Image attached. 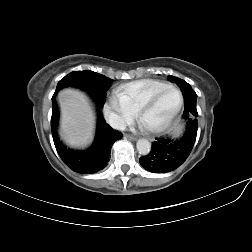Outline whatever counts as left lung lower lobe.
I'll return each instance as SVG.
<instances>
[{
  "mask_svg": "<svg viewBox=\"0 0 252 252\" xmlns=\"http://www.w3.org/2000/svg\"><path fill=\"white\" fill-rule=\"evenodd\" d=\"M184 96L185 132L179 139L156 138L150 153L140 158L144 169L152 173H165L178 168L188 158L197 135L198 116L196 109L197 95L191 86H180Z\"/></svg>",
  "mask_w": 252,
  "mask_h": 252,
  "instance_id": "left-lung-lower-lobe-1",
  "label": "left lung lower lobe"
}]
</instances>
